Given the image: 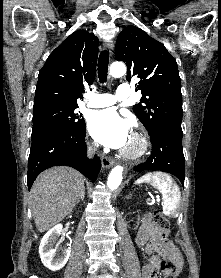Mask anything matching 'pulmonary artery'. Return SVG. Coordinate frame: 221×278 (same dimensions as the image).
Returning <instances> with one entry per match:
<instances>
[{"label":"pulmonary artery","instance_id":"obj_1","mask_svg":"<svg viewBox=\"0 0 221 278\" xmlns=\"http://www.w3.org/2000/svg\"><path fill=\"white\" fill-rule=\"evenodd\" d=\"M130 87L123 83L119 85L115 95L107 93H89L86 105L92 108L107 107L115 104L117 101L130 98Z\"/></svg>","mask_w":221,"mask_h":278}]
</instances>
